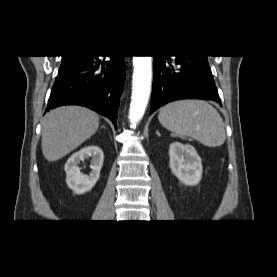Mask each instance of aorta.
<instances>
[{
	"instance_id": "aorta-1",
	"label": "aorta",
	"mask_w": 277,
	"mask_h": 277,
	"mask_svg": "<svg viewBox=\"0 0 277 277\" xmlns=\"http://www.w3.org/2000/svg\"><path fill=\"white\" fill-rule=\"evenodd\" d=\"M132 100L129 109L131 127L135 128L145 113L151 92L152 57L133 56Z\"/></svg>"
}]
</instances>
